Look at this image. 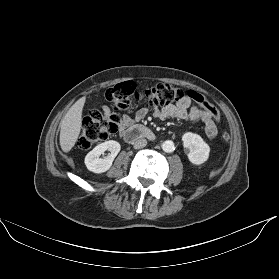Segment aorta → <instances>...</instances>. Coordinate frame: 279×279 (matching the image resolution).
Returning a JSON list of instances; mask_svg holds the SVG:
<instances>
[{
  "mask_svg": "<svg viewBox=\"0 0 279 279\" xmlns=\"http://www.w3.org/2000/svg\"><path fill=\"white\" fill-rule=\"evenodd\" d=\"M163 151L170 153L174 150V143L171 140H166L162 143Z\"/></svg>",
  "mask_w": 279,
  "mask_h": 279,
  "instance_id": "aorta-1",
  "label": "aorta"
}]
</instances>
